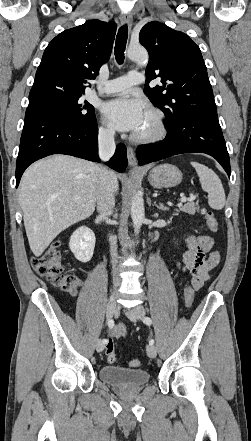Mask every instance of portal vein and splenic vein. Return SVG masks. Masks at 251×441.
Listing matches in <instances>:
<instances>
[{"mask_svg":"<svg viewBox=\"0 0 251 441\" xmlns=\"http://www.w3.org/2000/svg\"><path fill=\"white\" fill-rule=\"evenodd\" d=\"M194 199H195V196H194L193 194H191L189 198L182 197V198L180 199V201H181V202H186V201H192V200H194Z\"/></svg>","mask_w":251,"mask_h":441,"instance_id":"1","label":"portal vein and splenic vein"}]
</instances>
